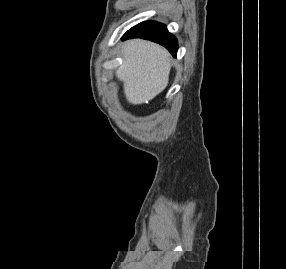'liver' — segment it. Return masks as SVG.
I'll use <instances>...</instances> for the list:
<instances>
[{"label": "liver", "mask_w": 286, "mask_h": 269, "mask_svg": "<svg viewBox=\"0 0 286 269\" xmlns=\"http://www.w3.org/2000/svg\"><path fill=\"white\" fill-rule=\"evenodd\" d=\"M123 57L116 77L124 83L129 103L150 101L166 88L170 59L163 47L140 39L129 40L124 44Z\"/></svg>", "instance_id": "1"}]
</instances>
